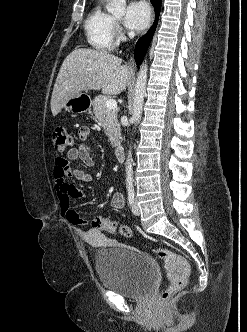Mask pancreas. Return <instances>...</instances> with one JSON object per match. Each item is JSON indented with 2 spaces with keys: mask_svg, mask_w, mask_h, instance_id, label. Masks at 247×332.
<instances>
[{
  "mask_svg": "<svg viewBox=\"0 0 247 332\" xmlns=\"http://www.w3.org/2000/svg\"><path fill=\"white\" fill-rule=\"evenodd\" d=\"M107 100L106 96H97L92 102L93 112L103 126L111 145L117 147L120 144L121 128L117 119V110L106 108L105 102Z\"/></svg>",
  "mask_w": 247,
  "mask_h": 332,
  "instance_id": "1",
  "label": "pancreas"
}]
</instances>
